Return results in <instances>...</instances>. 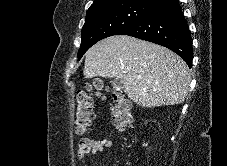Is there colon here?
<instances>
[{
    "mask_svg": "<svg viewBox=\"0 0 227 166\" xmlns=\"http://www.w3.org/2000/svg\"><path fill=\"white\" fill-rule=\"evenodd\" d=\"M104 90H107V88L104 87L101 80H95L86 84L85 87L77 93L74 121L76 134L84 135L88 132L93 119L92 95H99ZM111 111L112 122L118 130L124 131L131 125L133 121L132 103L128 98L119 93H114Z\"/></svg>",
    "mask_w": 227,
    "mask_h": 166,
    "instance_id": "1",
    "label": "colon"
}]
</instances>
